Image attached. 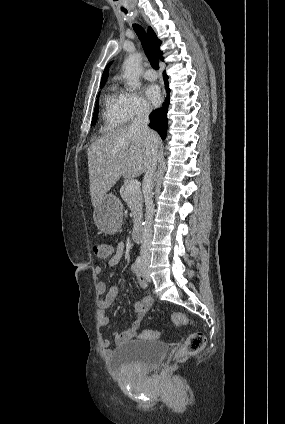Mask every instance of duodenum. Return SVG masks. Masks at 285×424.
<instances>
[{"label":"duodenum","instance_id":"410a0bca","mask_svg":"<svg viewBox=\"0 0 285 424\" xmlns=\"http://www.w3.org/2000/svg\"><path fill=\"white\" fill-rule=\"evenodd\" d=\"M133 241L135 242H141L143 240V230L140 225H137L134 228L133 234H132Z\"/></svg>","mask_w":285,"mask_h":424}]
</instances>
